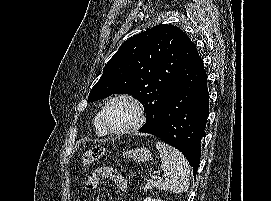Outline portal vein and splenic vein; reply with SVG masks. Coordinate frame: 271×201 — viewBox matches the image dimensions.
Here are the masks:
<instances>
[{
	"label": "portal vein and splenic vein",
	"mask_w": 271,
	"mask_h": 201,
	"mask_svg": "<svg viewBox=\"0 0 271 201\" xmlns=\"http://www.w3.org/2000/svg\"><path fill=\"white\" fill-rule=\"evenodd\" d=\"M152 178H153V179H158V175H157V174H154V175H152Z\"/></svg>",
	"instance_id": "1"
}]
</instances>
